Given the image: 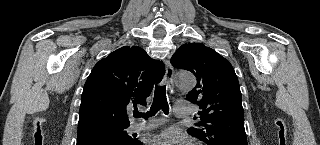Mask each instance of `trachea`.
<instances>
[{"instance_id": "trachea-1", "label": "trachea", "mask_w": 320, "mask_h": 145, "mask_svg": "<svg viewBox=\"0 0 320 145\" xmlns=\"http://www.w3.org/2000/svg\"><path fill=\"white\" fill-rule=\"evenodd\" d=\"M160 109H162L165 114H168L169 105L166 97V87L156 85L154 92V100L150 108V111H148L146 114L135 111L133 114L134 117L148 118L154 116Z\"/></svg>"}]
</instances>
